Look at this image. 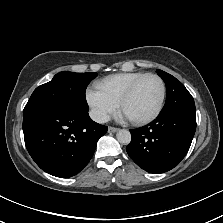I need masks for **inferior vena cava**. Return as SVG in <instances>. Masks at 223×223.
I'll return each mask as SVG.
<instances>
[{"instance_id": "inferior-vena-cava-1", "label": "inferior vena cava", "mask_w": 223, "mask_h": 223, "mask_svg": "<svg viewBox=\"0 0 223 223\" xmlns=\"http://www.w3.org/2000/svg\"><path fill=\"white\" fill-rule=\"evenodd\" d=\"M90 117L97 123H106L109 121V116L106 113H103L99 110H91Z\"/></svg>"}]
</instances>
